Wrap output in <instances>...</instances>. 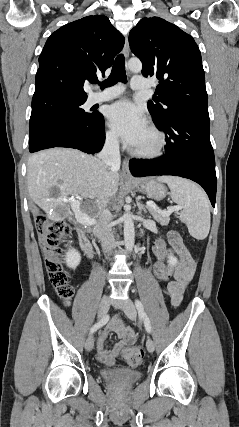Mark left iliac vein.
I'll list each match as a JSON object with an SVG mask.
<instances>
[{
	"mask_svg": "<svg viewBox=\"0 0 239 427\" xmlns=\"http://www.w3.org/2000/svg\"><path fill=\"white\" fill-rule=\"evenodd\" d=\"M123 311L130 320H135L137 312L135 305L131 300H127L126 303L123 305ZM146 348L149 352H153L155 349L154 341L149 337L146 341Z\"/></svg>",
	"mask_w": 239,
	"mask_h": 427,
	"instance_id": "4c4485c4",
	"label": "left iliac vein"
}]
</instances>
